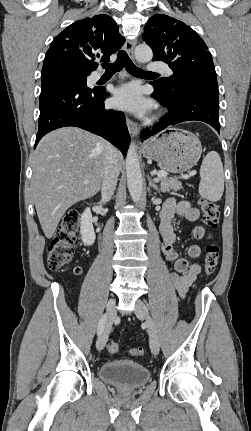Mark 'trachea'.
Returning a JSON list of instances; mask_svg holds the SVG:
<instances>
[{
	"mask_svg": "<svg viewBox=\"0 0 251 431\" xmlns=\"http://www.w3.org/2000/svg\"><path fill=\"white\" fill-rule=\"evenodd\" d=\"M106 74H115L125 68L131 75L143 76V75H157L153 72L142 70L135 66L128 54L124 50L118 52L117 60L114 63L102 64Z\"/></svg>",
	"mask_w": 251,
	"mask_h": 431,
	"instance_id": "obj_1",
	"label": "trachea"
}]
</instances>
